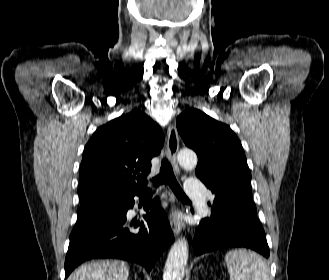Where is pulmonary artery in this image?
<instances>
[{
    "mask_svg": "<svg viewBox=\"0 0 329 280\" xmlns=\"http://www.w3.org/2000/svg\"><path fill=\"white\" fill-rule=\"evenodd\" d=\"M187 196L196 202H203L206 196L204 184L197 178H190L185 185Z\"/></svg>",
    "mask_w": 329,
    "mask_h": 280,
    "instance_id": "obj_1",
    "label": "pulmonary artery"
}]
</instances>
